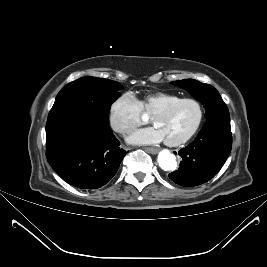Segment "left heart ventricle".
Instances as JSON below:
<instances>
[{
  "mask_svg": "<svg viewBox=\"0 0 267 267\" xmlns=\"http://www.w3.org/2000/svg\"><path fill=\"white\" fill-rule=\"evenodd\" d=\"M197 116V107L193 103L186 102L167 114L157 116L154 125L162 132L165 140H176L190 131Z\"/></svg>",
  "mask_w": 267,
  "mask_h": 267,
  "instance_id": "1",
  "label": "left heart ventricle"
}]
</instances>
